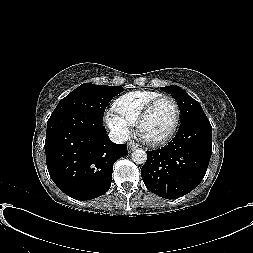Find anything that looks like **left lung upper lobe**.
Wrapping results in <instances>:
<instances>
[{
    "label": "left lung upper lobe",
    "mask_w": 253,
    "mask_h": 253,
    "mask_svg": "<svg viewBox=\"0 0 253 253\" xmlns=\"http://www.w3.org/2000/svg\"><path fill=\"white\" fill-rule=\"evenodd\" d=\"M161 89L171 94L177 101L181 114V122L195 117H206L201 105L190 97L181 87L166 86Z\"/></svg>",
    "instance_id": "1"
}]
</instances>
